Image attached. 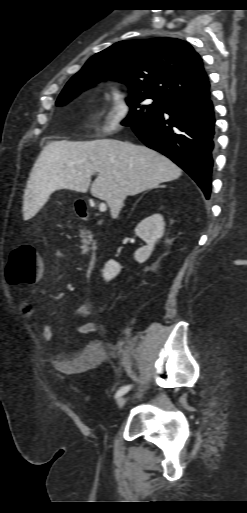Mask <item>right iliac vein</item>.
Listing matches in <instances>:
<instances>
[{
  "mask_svg": "<svg viewBox=\"0 0 247 513\" xmlns=\"http://www.w3.org/2000/svg\"><path fill=\"white\" fill-rule=\"evenodd\" d=\"M127 402V397L126 396H122L120 397L118 400H117V406L118 408H122L125 403Z\"/></svg>",
  "mask_w": 247,
  "mask_h": 513,
  "instance_id": "63e3f726",
  "label": "right iliac vein"
}]
</instances>
